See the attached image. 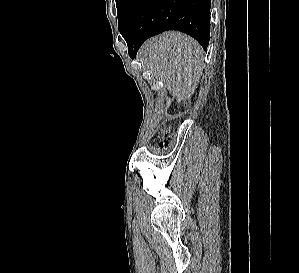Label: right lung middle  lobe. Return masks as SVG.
Here are the masks:
<instances>
[{
    "label": "right lung middle lobe",
    "mask_w": 299,
    "mask_h": 273,
    "mask_svg": "<svg viewBox=\"0 0 299 273\" xmlns=\"http://www.w3.org/2000/svg\"><path fill=\"white\" fill-rule=\"evenodd\" d=\"M134 0H116L119 31H121Z\"/></svg>",
    "instance_id": "right-lung-middle-lobe-1"
}]
</instances>
